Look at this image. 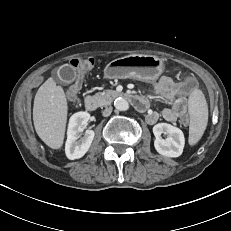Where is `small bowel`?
Segmentation results:
<instances>
[{"instance_id": "c3829d8e", "label": "small bowel", "mask_w": 231, "mask_h": 231, "mask_svg": "<svg viewBox=\"0 0 231 231\" xmlns=\"http://www.w3.org/2000/svg\"><path fill=\"white\" fill-rule=\"evenodd\" d=\"M157 98L168 105L162 111L148 110L146 121L155 124L159 119L174 123L186 117L188 99L182 95L180 84L168 76L162 77L155 86ZM147 101V100H146ZM148 103V101H147Z\"/></svg>"}]
</instances>
